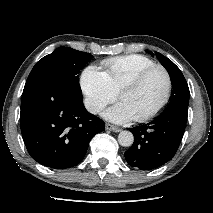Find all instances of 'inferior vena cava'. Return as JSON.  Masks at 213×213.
I'll list each match as a JSON object with an SVG mask.
<instances>
[{
    "mask_svg": "<svg viewBox=\"0 0 213 213\" xmlns=\"http://www.w3.org/2000/svg\"><path fill=\"white\" fill-rule=\"evenodd\" d=\"M86 109L91 113H97L103 109V106L99 103L93 102L89 99H86L84 101Z\"/></svg>",
    "mask_w": 213,
    "mask_h": 213,
    "instance_id": "1",
    "label": "inferior vena cava"
}]
</instances>
